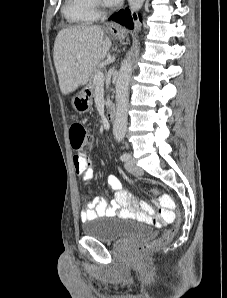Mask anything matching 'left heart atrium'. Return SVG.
I'll use <instances>...</instances> for the list:
<instances>
[{"label":"left heart atrium","mask_w":227,"mask_h":298,"mask_svg":"<svg viewBox=\"0 0 227 298\" xmlns=\"http://www.w3.org/2000/svg\"><path fill=\"white\" fill-rule=\"evenodd\" d=\"M106 4L108 5H116L118 4L121 0H104Z\"/></svg>","instance_id":"left-heart-atrium-1"}]
</instances>
